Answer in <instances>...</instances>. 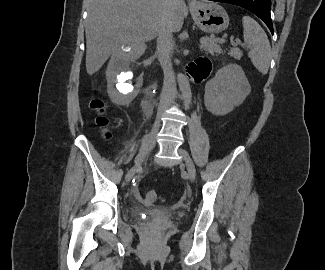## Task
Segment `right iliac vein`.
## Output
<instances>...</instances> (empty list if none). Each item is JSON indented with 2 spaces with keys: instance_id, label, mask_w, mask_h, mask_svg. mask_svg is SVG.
Here are the masks:
<instances>
[{
  "instance_id": "63e3f726",
  "label": "right iliac vein",
  "mask_w": 325,
  "mask_h": 270,
  "mask_svg": "<svg viewBox=\"0 0 325 270\" xmlns=\"http://www.w3.org/2000/svg\"><path fill=\"white\" fill-rule=\"evenodd\" d=\"M159 129H160L159 124H155L153 126L151 132L147 136V147H146L144 153L137 160H135L134 166L126 174L125 179H126L127 182H129L133 178V176L135 175V172L140 168L141 164L146 159L149 152L155 146L156 138H157V134H158Z\"/></svg>"
}]
</instances>
